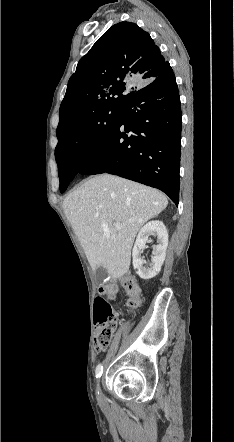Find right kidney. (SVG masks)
<instances>
[{
    "label": "right kidney",
    "mask_w": 234,
    "mask_h": 442,
    "mask_svg": "<svg viewBox=\"0 0 234 442\" xmlns=\"http://www.w3.org/2000/svg\"><path fill=\"white\" fill-rule=\"evenodd\" d=\"M149 235L157 236V245L153 248L152 262L149 267H145L141 254L146 248ZM167 246L168 232L162 221L152 220L140 229L132 250L133 267L140 278L149 280L159 273L165 260Z\"/></svg>",
    "instance_id": "ca27d5eb"
}]
</instances>
